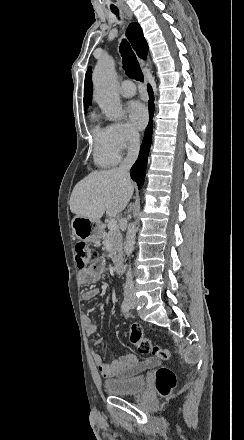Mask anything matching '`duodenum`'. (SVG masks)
<instances>
[{"mask_svg": "<svg viewBox=\"0 0 244 440\" xmlns=\"http://www.w3.org/2000/svg\"><path fill=\"white\" fill-rule=\"evenodd\" d=\"M114 267L117 273H123L124 271V264H123V258L121 256H117L114 258Z\"/></svg>", "mask_w": 244, "mask_h": 440, "instance_id": "1", "label": "duodenum"}]
</instances>
